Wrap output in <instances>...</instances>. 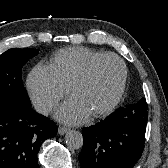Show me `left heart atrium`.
Masks as SVG:
<instances>
[{"label":"left heart atrium","mask_w":168,"mask_h":168,"mask_svg":"<svg viewBox=\"0 0 168 168\" xmlns=\"http://www.w3.org/2000/svg\"><path fill=\"white\" fill-rule=\"evenodd\" d=\"M91 114L88 107L77 96L70 97L56 111V118L64 123L79 124Z\"/></svg>","instance_id":"left-heart-atrium-1"}]
</instances>
